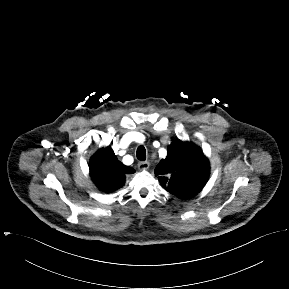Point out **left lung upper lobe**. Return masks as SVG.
<instances>
[{"label":"left lung upper lobe","instance_id":"obj_1","mask_svg":"<svg viewBox=\"0 0 289 289\" xmlns=\"http://www.w3.org/2000/svg\"><path fill=\"white\" fill-rule=\"evenodd\" d=\"M209 163L199 147L177 140L168 146V155L155 169L159 181L170 193L187 199L204 187Z\"/></svg>","mask_w":289,"mask_h":289}]
</instances>
